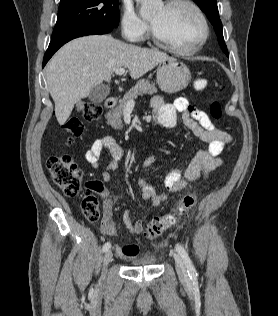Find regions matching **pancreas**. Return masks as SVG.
Listing matches in <instances>:
<instances>
[{
    "label": "pancreas",
    "instance_id": "cf45deb5",
    "mask_svg": "<svg viewBox=\"0 0 278 316\" xmlns=\"http://www.w3.org/2000/svg\"><path fill=\"white\" fill-rule=\"evenodd\" d=\"M157 93V88L155 84L151 83L148 79L139 80L134 87H132L122 99L119 101V105L114 108L112 111L108 112L106 115L107 122L114 129H122V114L125 106L130 100L136 99L138 96H142L144 94L152 95Z\"/></svg>",
    "mask_w": 278,
    "mask_h": 316
}]
</instances>
